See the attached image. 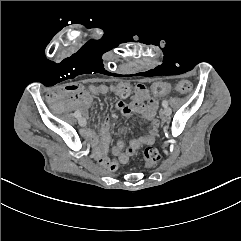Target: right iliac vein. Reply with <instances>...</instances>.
Segmentation results:
<instances>
[{
	"instance_id": "right-iliac-vein-1",
	"label": "right iliac vein",
	"mask_w": 241,
	"mask_h": 241,
	"mask_svg": "<svg viewBox=\"0 0 241 241\" xmlns=\"http://www.w3.org/2000/svg\"><path fill=\"white\" fill-rule=\"evenodd\" d=\"M78 123H79V125L82 126V127L86 126V120H85L83 117H80V118L78 119Z\"/></svg>"
}]
</instances>
